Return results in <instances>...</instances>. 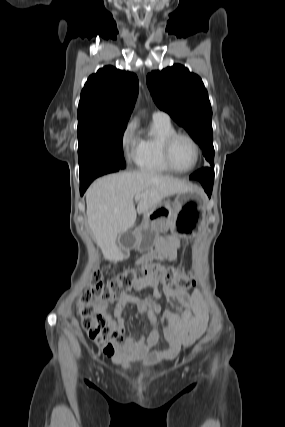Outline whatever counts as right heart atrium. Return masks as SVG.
Instances as JSON below:
<instances>
[{
	"instance_id": "1",
	"label": "right heart atrium",
	"mask_w": 285,
	"mask_h": 427,
	"mask_svg": "<svg viewBox=\"0 0 285 427\" xmlns=\"http://www.w3.org/2000/svg\"><path fill=\"white\" fill-rule=\"evenodd\" d=\"M137 122L135 120H130L121 134V148L125 154V156L130 159L134 156L135 147L138 143V139L136 136Z\"/></svg>"
}]
</instances>
